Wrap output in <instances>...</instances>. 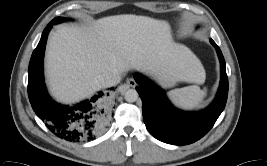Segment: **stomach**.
Instances as JSON below:
<instances>
[{"mask_svg":"<svg viewBox=\"0 0 267 166\" xmlns=\"http://www.w3.org/2000/svg\"><path fill=\"white\" fill-rule=\"evenodd\" d=\"M163 82L164 84H166L167 86H172L175 84V80L171 79V78H163Z\"/></svg>","mask_w":267,"mask_h":166,"instance_id":"1","label":"stomach"}]
</instances>
